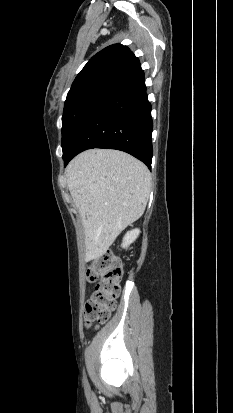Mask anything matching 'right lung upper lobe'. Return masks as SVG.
Here are the masks:
<instances>
[{
  "label": "right lung upper lobe",
  "mask_w": 233,
  "mask_h": 413,
  "mask_svg": "<svg viewBox=\"0 0 233 413\" xmlns=\"http://www.w3.org/2000/svg\"><path fill=\"white\" fill-rule=\"evenodd\" d=\"M130 49L121 44L106 47L93 56L75 78L72 92L90 81L101 78L117 79L139 64Z\"/></svg>",
  "instance_id": "right-lung-upper-lobe-1"
}]
</instances>
